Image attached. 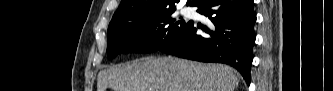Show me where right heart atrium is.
<instances>
[{
	"label": "right heart atrium",
	"mask_w": 333,
	"mask_h": 91,
	"mask_svg": "<svg viewBox=\"0 0 333 91\" xmlns=\"http://www.w3.org/2000/svg\"><path fill=\"white\" fill-rule=\"evenodd\" d=\"M151 35V32L150 31H146L145 32V36L149 37Z\"/></svg>",
	"instance_id": "d8ad5b80"
}]
</instances>
